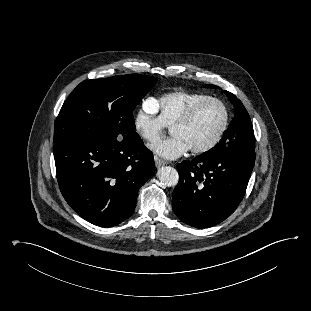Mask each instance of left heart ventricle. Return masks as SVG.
<instances>
[{
	"label": "left heart ventricle",
	"mask_w": 311,
	"mask_h": 311,
	"mask_svg": "<svg viewBox=\"0 0 311 311\" xmlns=\"http://www.w3.org/2000/svg\"><path fill=\"white\" fill-rule=\"evenodd\" d=\"M223 116L220 104L208 102L197 111L190 123L172 128L171 134L181 137L190 149L202 147L215 137L221 127Z\"/></svg>",
	"instance_id": "1"
}]
</instances>
